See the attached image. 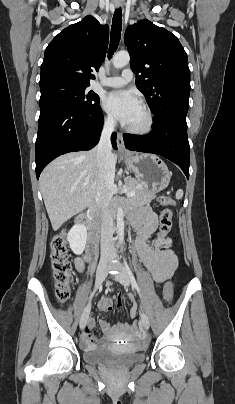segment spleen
Segmentation results:
<instances>
[{
    "instance_id": "obj_1",
    "label": "spleen",
    "mask_w": 235,
    "mask_h": 404,
    "mask_svg": "<svg viewBox=\"0 0 235 404\" xmlns=\"http://www.w3.org/2000/svg\"><path fill=\"white\" fill-rule=\"evenodd\" d=\"M175 197L176 199H181L183 197V190L182 189L177 190Z\"/></svg>"
}]
</instances>
